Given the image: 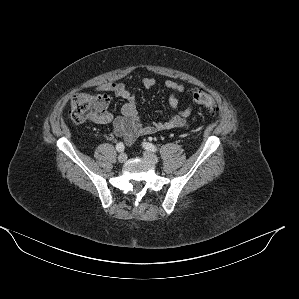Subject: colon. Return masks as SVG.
<instances>
[{
	"mask_svg": "<svg viewBox=\"0 0 299 299\" xmlns=\"http://www.w3.org/2000/svg\"><path fill=\"white\" fill-rule=\"evenodd\" d=\"M192 96L195 102L206 108L210 114H216V104L210 94L203 90H194ZM109 102L110 98L104 94H76L70 101L69 118L74 123L97 119L107 108Z\"/></svg>",
	"mask_w": 299,
	"mask_h": 299,
	"instance_id": "obj_1",
	"label": "colon"
}]
</instances>
